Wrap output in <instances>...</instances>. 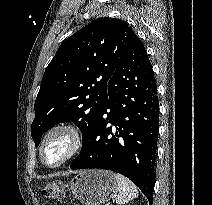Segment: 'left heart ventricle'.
I'll use <instances>...</instances> for the list:
<instances>
[{"label": "left heart ventricle", "mask_w": 212, "mask_h": 205, "mask_svg": "<svg viewBox=\"0 0 212 205\" xmlns=\"http://www.w3.org/2000/svg\"><path fill=\"white\" fill-rule=\"evenodd\" d=\"M67 140L64 137H54L46 146L45 158L48 162L53 163L59 160L67 150Z\"/></svg>", "instance_id": "obj_1"}]
</instances>
